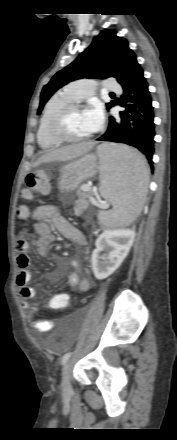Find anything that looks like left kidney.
Returning a JSON list of instances; mask_svg holds the SVG:
<instances>
[{"label": "left kidney", "mask_w": 177, "mask_h": 440, "mask_svg": "<svg viewBox=\"0 0 177 440\" xmlns=\"http://www.w3.org/2000/svg\"><path fill=\"white\" fill-rule=\"evenodd\" d=\"M135 232L130 229H107L96 240L92 253V270L98 280L110 276L121 265L133 244ZM102 251L107 253L101 255Z\"/></svg>", "instance_id": "left-kidney-1"}]
</instances>
